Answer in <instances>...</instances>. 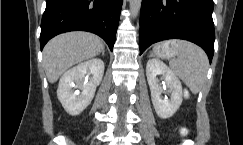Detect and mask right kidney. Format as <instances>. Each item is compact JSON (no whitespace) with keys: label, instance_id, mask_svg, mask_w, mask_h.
Segmentation results:
<instances>
[{"label":"right kidney","instance_id":"ca27d5eb","mask_svg":"<svg viewBox=\"0 0 243 145\" xmlns=\"http://www.w3.org/2000/svg\"><path fill=\"white\" fill-rule=\"evenodd\" d=\"M104 62L94 58L69 69L60 78L57 97L70 115L80 114L92 101L104 74ZM92 74L89 78L88 76ZM77 89L74 91V89Z\"/></svg>","mask_w":243,"mask_h":145}]
</instances>
